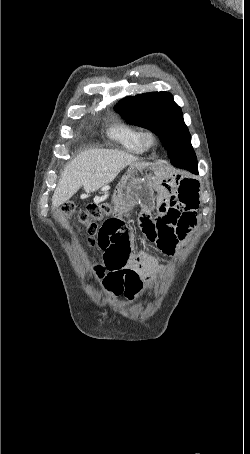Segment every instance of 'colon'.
Returning a JSON list of instances; mask_svg holds the SVG:
<instances>
[{
  "label": "colon",
  "instance_id": "colon-1",
  "mask_svg": "<svg viewBox=\"0 0 250 454\" xmlns=\"http://www.w3.org/2000/svg\"><path fill=\"white\" fill-rule=\"evenodd\" d=\"M74 211V207L71 204H65L62 206V212L70 215ZM113 213L112 205L109 203L103 204H89L86 208L82 209L78 213L79 220L82 224L83 231L88 235V242L94 245V235L98 232L97 222L106 221L112 217Z\"/></svg>",
  "mask_w": 250,
  "mask_h": 454
}]
</instances>
